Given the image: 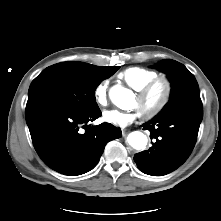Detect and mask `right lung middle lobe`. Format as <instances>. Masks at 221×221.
<instances>
[{
  "instance_id": "dd1d6c3e",
  "label": "right lung middle lobe",
  "mask_w": 221,
  "mask_h": 221,
  "mask_svg": "<svg viewBox=\"0 0 221 221\" xmlns=\"http://www.w3.org/2000/svg\"><path fill=\"white\" fill-rule=\"evenodd\" d=\"M120 66L88 70L70 62L44 69L31 83L27 106L54 105L78 112L98 109L95 89Z\"/></svg>"
}]
</instances>
